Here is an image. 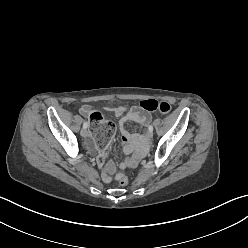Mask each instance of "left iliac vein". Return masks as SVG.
Segmentation results:
<instances>
[{
  "label": "left iliac vein",
  "instance_id": "1",
  "mask_svg": "<svg viewBox=\"0 0 248 248\" xmlns=\"http://www.w3.org/2000/svg\"><path fill=\"white\" fill-rule=\"evenodd\" d=\"M147 137H148L149 139H152V137H153V132H152V131H148V132H147Z\"/></svg>",
  "mask_w": 248,
  "mask_h": 248
}]
</instances>
